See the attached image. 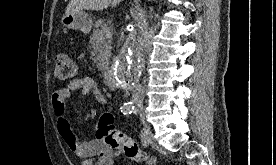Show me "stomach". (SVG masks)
<instances>
[{
    "label": "stomach",
    "instance_id": "obj_1",
    "mask_svg": "<svg viewBox=\"0 0 276 165\" xmlns=\"http://www.w3.org/2000/svg\"><path fill=\"white\" fill-rule=\"evenodd\" d=\"M61 23L64 27L89 33L92 28V18L85 12L64 14Z\"/></svg>",
    "mask_w": 276,
    "mask_h": 165
}]
</instances>
